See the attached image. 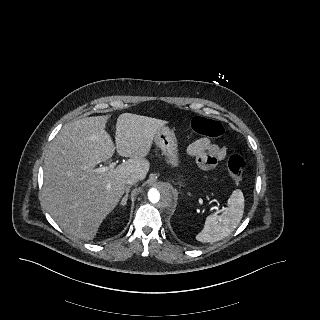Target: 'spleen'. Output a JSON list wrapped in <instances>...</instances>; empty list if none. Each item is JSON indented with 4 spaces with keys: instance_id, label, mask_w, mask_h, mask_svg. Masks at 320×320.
Masks as SVG:
<instances>
[{
    "instance_id": "3e777b00",
    "label": "spleen",
    "mask_w": 320,
    "mask_h": 320,
    "mask_svg": "<svg viewBox=\"0 0 320 320\" xmlns=\"http://www.w3.org/2000/svg\"><path fill=\"white\" fill-rule=\"evenodd\" d=\"M227 209L221 215H209L203 229L196 235L200 242H216L231 234L240 223L244 213V196L234 190L229 197Z\"/></svg>"
}]
</instances>
